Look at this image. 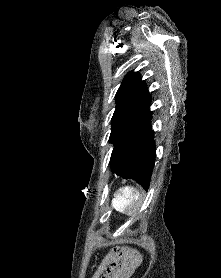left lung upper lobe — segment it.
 Wrapping results in <instances>:
<instances>
[{
	"mask_svg": "<svg viewBox=\"0 0 221 278\" xmlns=\"http://www.w3.org/2000/svg\"><path fill=\"white\" fill-rule=\"evenodd\" d=\"M150 101V93L145 82L141 81L140 74L128 73L116 94V109L109 138V142L114 143V148L147 109Z\"/></svg>",
	"mask_w": 221,
	"mask_h": 278,
	"instance_id": "5c2ea615",
	"label": "left lung upper lobe"
}]
</instances>
